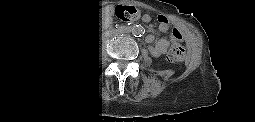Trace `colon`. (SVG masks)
Masks as SVG:
<instances>
[{
    "mask_svg": "<svg viewBox=\"0 0 255 122\" xmlns=\"http://www.w3.org/2000/svg\"><path fill=\"white\" fill-rule=\"evenodd\" d=\"M117 14L125 22H131L137 18V11L131 7L119 9ZM172 34L178 37V31L176 29L172 30ZM184 53L185 48L183 44L180 40H176L171 44L167 57L171 62H179L182 60Z\"/></svg>",
    "mask_w": 255,
    "mask_h": 122,
    "instance_id": "5ec220e1",
    "label": "colon"
}]
</instances>
